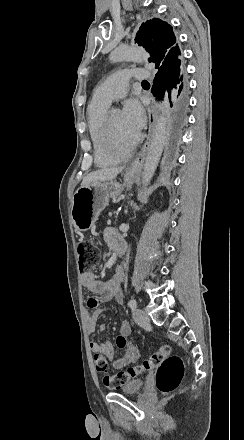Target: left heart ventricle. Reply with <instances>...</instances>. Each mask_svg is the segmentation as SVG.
I'll return each mask as SVG.
<instances>
[{"label":"left heart ventricle","mask_w":244,"mask_h":440,"mask_svg":"<svg viewBox=\"0 0 244 440\" xmlns=\"http://www.w3.org/2000/svg\"><path fill=\"white\" fill-rule=\"evenodd\" d=\"M111 127L115 132L110 140L113 146L122 145L125 140L130 138L128 130L125 126L123 115L121 111H115L111 115Z\"/></svg>","instance_id":"1"}]
</instances>
